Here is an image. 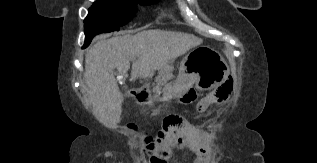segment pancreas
I'll return each mask as SVG.
<instances>
[{
	"instance_id": "cf45deb5",
	"label": "pancreas",
	"mask_w": 317,
	"mask_h": 163,
	"mask_svg": "<svg viewBox=\"0 0 317 163\" xmlns=\"http://www.w3.org/2000/svg\"><path fill=\"white\" fill-rule=\"evenodd\" d=\"M172 71V65H166L160 69L158 77L156 78V86L153 88L154 91L160 90V86L172 78Z\"/></svg>"
}]
</instances>
